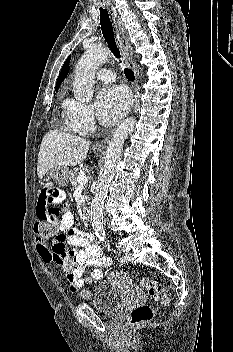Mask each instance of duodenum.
I'll use <instances>...</instances> for the list:
<instances>
[{"label":"duodenum","mask_w":233,"mask_h":352,"mask_svg":"<svg viewBox=\"0 0 233 352\" xmlns=\"http://www.w3.org/2000/svg\"><path fill=\"white\" fill-rule=\"evenodd\" d=\"M84 216H85L86 220L90 221V219H91V210H90L89 207L84 209Z\"/></svg>","instance_id":"1"}]
</instances>
